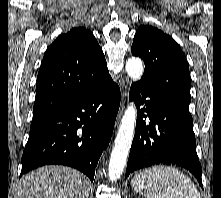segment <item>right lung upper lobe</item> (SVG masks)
Masks as SVG:
<instances>
[{"mask_svg": "<svg viewBox=\"0 0 221 198\" xmlns=\"http://www.w3.org/2000/svg\"><path fill=\"white\" fill-rule=\"evenodd\" d=\"M106 60L89 29L72 28L47 49L38 72L33 118L46 114L110 79Z\"/></svg>", "mask_w": 221, "mask_h": 198, "instance_id": "right-lung-upper-lobe-1", "label": "right lung upper lobe"}]
</instances>
